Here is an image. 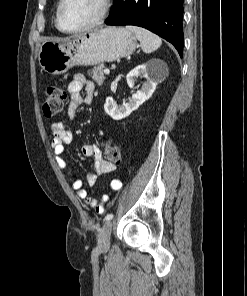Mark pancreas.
<instances>
[{
  "instance_id": "pancreas-1",
  "label": "pancreas",
  "mask_w": 247,
  "mask_h": 296,
  "mask_svg": "<svg viewBox=\"0 0 247 296\" xmlns=\"http://www.w3.org/2000/svg\"><path fill=\"white\" fill-rule=\"evenodd\" d=\"M104 65L99 64L96 67H94L92 70L88 71V75L98 84H102L105 76H104Z\"/></svg>"
}]
</instances>
